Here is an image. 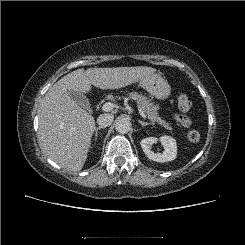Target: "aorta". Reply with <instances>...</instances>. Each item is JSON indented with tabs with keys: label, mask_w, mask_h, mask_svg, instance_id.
Wrapping results in <instances>:
<instances>
[{
	"label": "aorta",
	"mask_w": 245,
	"mask_h": 245,
	"mask_svg": "<svg viewBox=\"0 0 245 245\" xmlns=\"http://www.w3.org/2000/svg\"><path fill=\"white\" fill-rule=\"evenodd\" d=\"M115 129L120 134H126L131 130V123L125 118L119 119L116 122Z\"/></svg>",
	"instance_id": "obj_1"
}]
</instances>
